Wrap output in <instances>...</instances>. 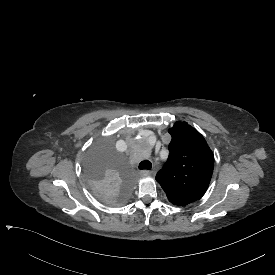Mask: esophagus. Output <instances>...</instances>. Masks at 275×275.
Returning <instances> with one entry per match:
<instances>
[{
	"instance_id": "obj_1",
	"label": "esophagus",
	"mask_w": 275,
	"mask_h": 275,
	"mask_svg": "<svg viewBox=\"0 0 275 275\" xmlns=\"http://www.w3.org/2000/svg\"><path fill=\"white\" fill-rule=\"evenodd\" d=\"M150 174H151V171H149V170H141V171H139V175L142 176V177L149 176Z\"/></svg>"
}]
</instances>
